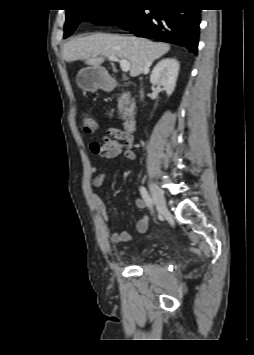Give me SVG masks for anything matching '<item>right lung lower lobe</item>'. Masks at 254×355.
Masks as SVG:
<instances>
[{
  "mask_svg": "<svg viewBox=\"0 0 254 355\" xmlns=\"http://www.w3.org/2000/svg\"><path fill=\"white\" fill-rule=\"evenodd\" d=\"M155 6L165 8H150L151 13L146 12V7ZM115 24L135 35L180 44L197 53L200 9L196 0H165L160 3L137 4Z\"/></svg>",
  "mask_w": 254,
  "mask_h": 355,
  "instance_id": "1",
  "label": "right lung lower lobe"
}]
</instances>
